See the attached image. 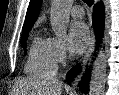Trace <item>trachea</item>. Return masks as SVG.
<instances>
[{"label":"trachea","instance_id":"3493384b","mask_svg":"<svg viewBox=\"0 0 119 95\" xmlns=\"http://www.w3.org/2000/svg\"><path fill=\"white\" fill-rule=\"evenodd\" d=\"M88 6H92L94 3V0H83Z\"/></svg>","mask_w":119,"mask_h":95}]
</instances>
